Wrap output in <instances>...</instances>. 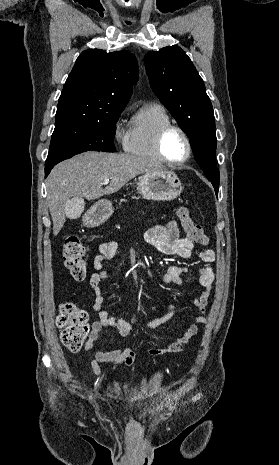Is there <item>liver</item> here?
Masks as SVG:
<instances>
[{
  "label": "liver",
  "instance_id": "obj_1",
  "mask_svg": "<svg viewBox=\"0 0 279 465\" xmlns=\"http://www.w3.org/2000/svg\"><path fill=\"white\" fill-rule=\"evenodd\" d=\"M157 171L159 169L153 163L139 156L96 151L85 152L57 164L46 181L53 234L56 236L66 221V205L70 199H98L119 191L137 175ZM106 179L110 182L102 188Z\"/></svg>",
  "mask_w": 279,
  "mask_h": 465
}]
</instances>
